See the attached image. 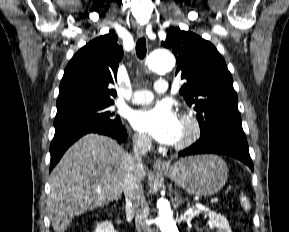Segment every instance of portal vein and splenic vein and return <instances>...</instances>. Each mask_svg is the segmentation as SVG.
<instances>
[{
  "label": "portal vein and splenic vein",
  "instance_id": "portal-vein-and-splenic-vein-1",
  "mask_svg": "<svg viewBox=\"0 0 289 232\" xmlns=\"http://www.w3.org/2000/svg\"><path fill=\"white\" fill-rule=\"evenodd\" d=\"M101 190H97V192H100ZM219 199L217 197H214L211 199V203H218Z\"/></svg>",
  "mask_w": 289,
  "mask_h": 232
}]
</instances>
